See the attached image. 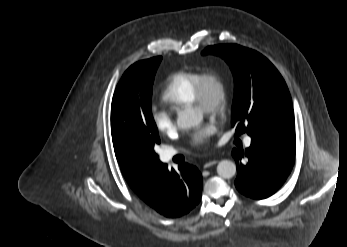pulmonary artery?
I'll return each instance as SVG.
<instances>
[{"label": "pulmonary artery", "mask_w": 347, "mask_h": 247, "mask_svg": "<svg viewBox=\"0 0 347 247\" xmlns=\"http://www.w3.org/2000/svg\"><path fill=\"white\" fill-rule=\"evenodd\" d=\"M250 144H251V139L249 138V137H247L246 139H245V145L246 146H250ZM176 151L175 150H166L165 152H164V157L166 158V159H171L174 155H176Z\"/></svg>", "instance_id": "e3ab8cb5"}]
</instances>
